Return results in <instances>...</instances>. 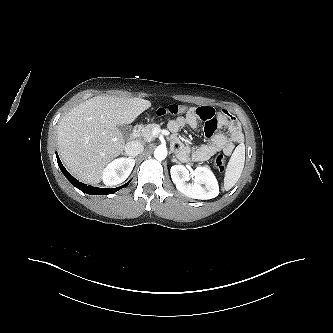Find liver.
<instances>
[{
	"instance_id": "liver-1",
	"label": "liver",
	"mask_w": 333,
	"mask_h": 333,
	"mask_svg": "<svg viewBox=\"0 0 333 333\" xmlns=\"http://www.w3.org/2000/svg\"><path fill=\"white\" fill-rule=\"evenodd\" d=\"M149 107L151 102L145 99L110 96H96L74 107L57 128L66 168L81 182L98 184L105 166L124 149L117 126L132 123Z\"/></svg>"
}]
</instances>
